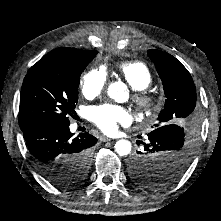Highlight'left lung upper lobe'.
Returning <instances> with one entry per match:
<instances>
[{"instance_id": "obj_1", "label": "left lung upper lobe", "mask_w": 221, "mask_h": 221, "mask_svg": "<svg viewBox=\"0 0 221 221\" xmlns=\"http://www.w3.org/2000/svg\"><path fill=\"white\" fill-rule=\"evenodd\" d=\"M148 56L162 79L166 101L156 129L148 134L149 143L138 153L147 166L142 173L130 175L142 187L162 188L176 181L190 162L192 148L184 141V129L174 123L191 127L198 120L196 88L188 70L175 57L159 50H148Z\"/></svg>"}]
</instances>
